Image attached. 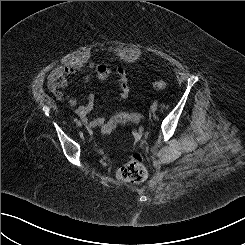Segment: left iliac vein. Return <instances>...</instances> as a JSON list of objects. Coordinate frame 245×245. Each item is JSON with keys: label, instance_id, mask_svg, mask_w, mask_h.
I'll use <instances>...</instances> for the list:
<instances>
[{"label": "left iliac vein", "instance_id": "4c4485c4", "mask_svg": "<svg viewBox=\"0 0 245 245\" xmlns=\"http://www.w3.org/2000/svg\"><path fill=\"white\" fill-rule=\"evenodd\" d=\"M151 111L152 112H155L157 110V105L153 104L151 107H150Z\"/></svg>", "mask_w": 245, "mask_h": 245}]
</instances>
